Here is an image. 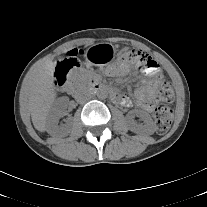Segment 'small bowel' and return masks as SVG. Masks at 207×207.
I'll use <instances>...</instances> for the list:
<instances>
[{
  "label": "small bowel",
  "instance_id": "obj_1",
  "mask_svg": "<svg viewBox=\"0 0 207 207\" xmlns=\"http://www.w3.org/2000/svg\"><path fill=\"white\" fill-rule=\"evenodd\" d=\"M129 61L130 60H125L123 63H121L118 66L110 67L107 70V74L112 77L124 75L127 72ZM147 75L153 76L154 79L145 81L143 86L137 90L136 102L140 108L146 111H151L153 109L154 99L159 87L162 74H161V70L157 65L156 70L153 73ZM113 98L116 102H118L119 104L125 107H130L132 105L130 99L122 93H115V96Z\"/></svg>",
  "mask_w": 207,
  "mask_h": 207
}]
</instances>
